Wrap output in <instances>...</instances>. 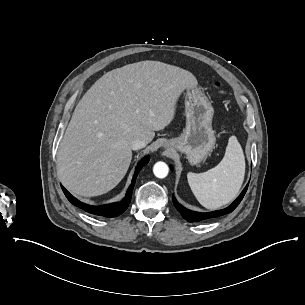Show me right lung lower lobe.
Instances as JSON below:
<instances>
[{
    "label": "right lung lower lobe",
    "mask_w": 305,
    "mask_h": 305,
    "mask_svg": "<svg viewBox=\"0 0 305 305\" xmlns=\"http://www.w3.org/2000/svg\"><path fill=\"white\" fill-rule=\"evenodd\" d=\"M149 161V156H146L143 158L136 167L135 174L132 179L131 186L128 188L127 193L125 197L120 202H115L111 204H105L100 206H90L88 204L82 203L79 200H77L75 197H73L63 186V192L67 199L75 206L95 215L105 216V217H115L120 214H122L128 207L130 201H131V192L133 190L136 177L139 173V171L142 169L143 166H145Z\"/></svg>",
    "instance_id": "1"
}]
</instances>
